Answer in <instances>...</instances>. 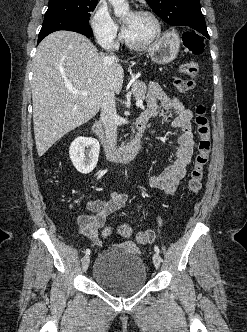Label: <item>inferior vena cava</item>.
I'll return each mask as SVG.
<instances>
[{
  "instance_id": "obj_1",
  "label": "inferior vena cava",
  "mask_w": 247,
  "mask_h": 332,
  "mask_svg": "<svg viewBox=\"0 0 247 332\" xmlns=\"http://www.w3.org/2000/svg\"><path fill=\"white\" fill-rule=\"evenodd\" d=\"M109 51V44L105 46ZM111 58L115 56L111 52ZM101 120L103 122L106 140L112 150H114L117 143V113L115 107V95L108 93L103 99L101 106Z\"/></svg>"
}]
</instances>
